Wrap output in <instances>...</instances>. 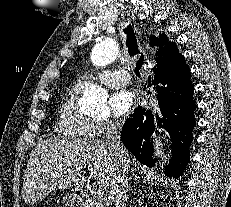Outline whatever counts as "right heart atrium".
Instances as JSON below:
<instances>
[{"instance_id": "right-heart-atrium-1", "label": "right heart atrium", "mask_w": 231, "mask_h": 207, "mask_svg": "<svg viewBox=\"0 0 231 207\" xmlns=\"http://www.w3.org/2000/svg\"><path fill=\"white\" fill-rule=\"evenodd\" d=\"M120 121L112 118L106 117L95 121V134H102L107 131L114 130L120 126Z\"/></svg>"}]
</instances>
